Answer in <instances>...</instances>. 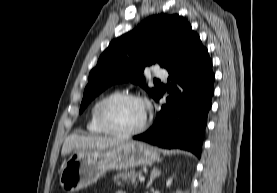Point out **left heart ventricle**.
I'll return each instance as SVG.
<instances>
[{
	"instance_id": "left-heart-ventricle-1",
	"label": "left heart ventricle",
	"mask_w": 277,
	"mask_h": 193,
	"mask_svg": "<svg viewBox=\"0 0 277 193\" xmlns=\"http://www.w3.org/2000/svg\"><path fill=\"white\" fill-rule=\"evenodd\" d=\"M145 105L136 100H122L110 105L106 111L109 124L116 130L129 131L138 127L145 116Z\"/></svg>"
}]
</instances>
